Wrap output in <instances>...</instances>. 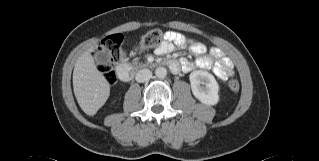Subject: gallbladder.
Here are the masks:
<instances>
[{"label": "gallbladder", "instance_id": "gallbladder-1", "mask_svg": "<svg viewBox=\"0 0 319 161\" xmlns=\"http://www.w3.org/2000/svg\"><path fill=\"white\" fill-rule=\"evenodd\" d=\"M109 60V53L105 51H100L95 54V61L98 64H106Z\"/></svg>", "mask_w": 319, "mask_h": 161}]
</instances>
